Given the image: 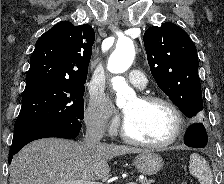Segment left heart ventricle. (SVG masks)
I'll list each match as a JSON object with an SVG mask.
<instances>
[{
    "label": "left heart ventricle",
    "mask_w": 224,
    "mask_h": 184,
    "mask_svg": "<svg viewBox=\"0 0 224 184\" xmlns=\"http://www.w3.org/2000/svg\"><path fill=\"white\" fill-rule=\"evenodd\" d=\"M128 131L131 136L151 143L167 140L173 133L175 118L161 103H143L135 98L124 106Z\"/></svg>",
    "instance_id": "obj_1"
}]
</instances>
